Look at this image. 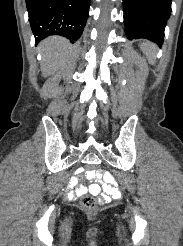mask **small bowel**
<instances>
[{
	"label": "small bowel",
	"instance_id": "obj_1",
	"mask_svg": "<svg viewBox=\"0 0 183 246\" xmlns=\"http://www.w3.org/2000/svg\"><path fill=\"white\" fill-rule=\"evenodd\" d=\"M78 173H82V169H79ZM109 174V170H91V172H87L86 176L89 179H93V183L90 186L77 185L78 179H84V174H73V177L70 179L69 184H65V189H74V191L68 193L67 197L77 198L90 192L96 195L101 194V197L104 199L120 198V192L115 186L117 175ZM101 175H104V177H102Z\"/></svg>",
	"mask_w": 183,
	"mask_h": 246
}]
</instances>
